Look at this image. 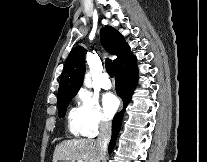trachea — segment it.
<instances>
[{
    "instance_id": "1",
    "label": "trachea",
    "mask_w": 207,
    "mask_h": 162,
    "mask_svg": "<svg viewBox=\"0 0 207 162\" xmlns=\"http://www.w3.org/2000/svg\"><path fill=\"white\" fill-rule=\"evenodd\" d=\"M106 64V71L108 72V74L113 77L114 76V68H113V63L111 61V59L107 58L105 61Z\"/></svg>"
}]
</instances>
